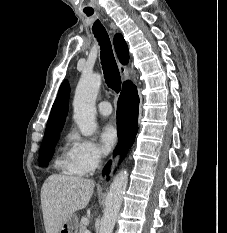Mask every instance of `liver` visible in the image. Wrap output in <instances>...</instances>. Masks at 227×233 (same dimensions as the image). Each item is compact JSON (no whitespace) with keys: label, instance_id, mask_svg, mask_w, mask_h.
<instances>
[{"label":"liver","instance_id":"obj_1","mask_svg":"<svg viewBox=\"0 0 227 233\" xmlns=\"http://www.w3.org/2000/svg\"><path fill=\"white\" fill-rule=\"evenodd\" d=\"M91 179L59 174L50 175L41 188V207L46 233H58L63 222L84 209L93 194Z\"/></svg>","mask_w":227,"mask_h":233}]
</instances>
